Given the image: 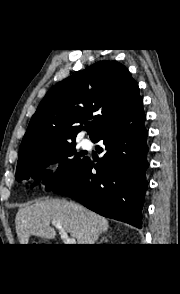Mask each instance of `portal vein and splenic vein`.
<instances>
[{
  "mask_svg": "<svg viewBox=\"0 0 180 294\" xmlns=\"http://www.w3.org/2000/svg\"><path fill=\"white\" fill-rule=\"evenodd\" d=\"M52 225L57 228L59 230V234L62 238V240L66 243V244H70V245H75L76 244V240L74 238H70L66 232V230L63 228V226L61 225V223L53 221Z\"/></svg>",
  "mask_w": 180,
  "mask_h": 294,
  "instance_id": "obj_1",
  "label": "portal vein and splenic vein"
}]
</instances>
